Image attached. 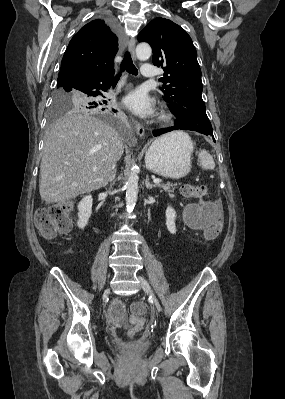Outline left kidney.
Wrapping results in <instances>:
<instances>
[{
  "mask_svg": "<svg viewBox=\"0 0 285 399\" xmlns=\"http://www.w3.org/2000/svg\"><path fill=\"white\" fill-rule=\"evenodd\" d=\"M165 216H166V226L168 231L171 234H175L176 233V226H175V219H176V212L175 210L171 207L168 206L165 212Z\"/></svg>",
  "mask_w": 285,
  "mask_h": 399,
  "instance_id": "left-kidney-1",
  "label": "left kidney"
}]
</instances>
